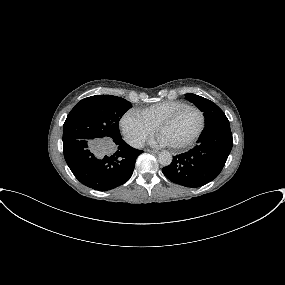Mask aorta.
I'll use <instances>...</instances> for the list:
<instances>
[{
    "label": "aorta",
    "mask_w": 285,
    "mask_h": 285,
    "mask_svg": "<svg viewBox=\"0 0 285 285\" xmlns=\"http://www.w3.org/2000/svg\"><path fill=\"white\" fill-rule=\"evenodd\" d=\"M172 155L170 152L168 151H162L160 152L159 156H158V161L161 165L163 166H168L171 164L172 162Z\"/></svg>",
    "instance_id": "aorta-1"
}]
</instances>
